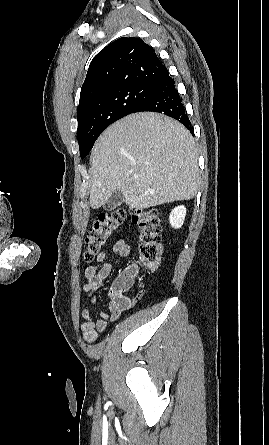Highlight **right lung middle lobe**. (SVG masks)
<instances>
[{"label": "right lung middle lobe", "instance_id": "1", "mask_svg": "<svg viewBox=\"0 0 269 445\" xmlns=\"http://www.w3.org/2000/svg\"><path fill=\"white\" fill-rule=\"evenodd\" d=\"M150 85H129L111 90L85 103L77 112L80 156L85 158L98 136L113 122L131 114L150 97Z\"/></svg>", "mask_w": 269, "mask_h": 445}]
</instances>
